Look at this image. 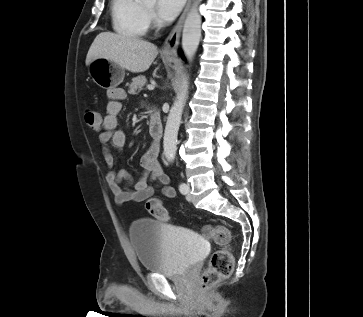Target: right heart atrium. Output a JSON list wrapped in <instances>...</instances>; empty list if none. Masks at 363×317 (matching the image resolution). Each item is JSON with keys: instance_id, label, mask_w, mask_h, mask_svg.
Segmentation results:
<instances>
[{"instance_id": "obj_1", "label": "right heart atrium", "mask_w": 363, "mask_h": 317, "mask_svg": "<svg viewBox=\"0 0 363 317\" xmlns=\"http://www.w3.org/2000/svg\"><path fill=\"white\" fill-rule=\"evenodd\" d=\"M150 18H151L153 21H155V18H154L152 15H150Z\"/></svg>"}]
</instances>
